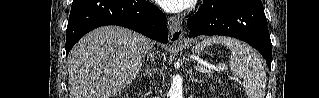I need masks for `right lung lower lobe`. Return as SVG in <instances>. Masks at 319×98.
<instances>
[{
  "label": "right lung lower lobe",
  "instance_id": "obj_1",
  "mask_svg": "<svg viewBox=\"0 0 319 98\" xmlns=\"http://www.w3.org/2000/svg\"><path fill=\"white\" fill-rule=\"evenodd\" d=\"M119 25L156 41L167 43L166 16L144 0H74L66 32V56L89 31Z\"/></svg>",
  "mask_w": 319,
  "mask_h": 98
}]
</instances>
